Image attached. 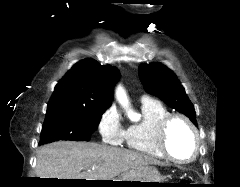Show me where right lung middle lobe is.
Instances as JSON below:
<instances>
[{
  "label": "right lung middle lobe",
  "mask_w": 240,
  "mask_h": 187,
  "mask_svg": "<svg viewBox=\"0 0 240 187\" xmlns=\"http://www.w3.org/2000/svg\"><path fill=\"white\" fill-rule=\"evenodd\" d=\"M106 109L60 105L47 108L40 143L58 140L88 141Z\"/></svg>",
  "instance_id": "dd1d6c3e"
}]
</instances>
